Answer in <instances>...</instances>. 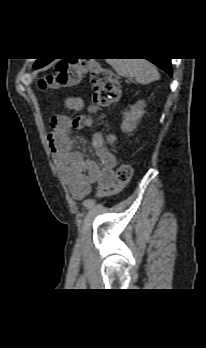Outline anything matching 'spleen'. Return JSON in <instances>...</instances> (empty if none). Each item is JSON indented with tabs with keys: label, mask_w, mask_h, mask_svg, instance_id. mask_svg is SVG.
<instances>
[{
	"label": "spleen",
	"mask_w": 206,
	"mask_h": 348,
	"mask_svg": "<svg viewBox=\"0 0 206 348\" xmlns=\"http://www.w3.org/2000/svg\"><path fill=\"white\" fill-rule=\"evenodd\" d=\"M112 68L123 77H132L140 84L160 79L155 66L146 59H108Z\"/></svg>",
	"instance_id": "3e777b00"
}]
</instances>
